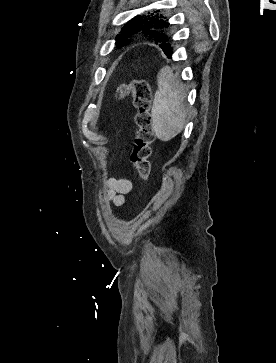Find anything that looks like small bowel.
Here are the masks:
<instances>
[{"mask_svg":"<svg viewBox=\"0 0 276 363\" xmlns=\"http://www.w3.org/2000/svg\"><path fill=\"white\" fill-rule=\"evenodd\" d=\"M133 184L126 178L111 177L106 182V198L116 206L125 204V195L132 191Z\"/></svg>","mask_w":276,"mask_h":363,"instance_id":"1","label":"small bowel"}]
</instances>
